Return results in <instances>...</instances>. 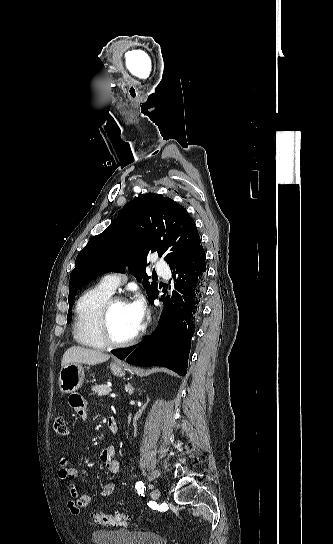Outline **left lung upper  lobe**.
<instances>
[{"instance_id":"5c2ea615","label":"left lung upper lobe","mask_w":333,"mask_h":544,"mask_svg":"<svg viewBox=\"0 0 333 544\" xmlns=\"http://www.w3.org/2000/svg\"><path fill=\"white\" fill-rule=\"evenodd\" d=\"M201 245L196 224L187 210L171 198L148 193L127 203L117 218L101 234L91 238L77 255L70 275L69 311L77 289L109 270L127 265L144 287L149 300L158 293L157 283L148 282L147 256L157 252L170 268L183 264Z\"/></svg>"}]
</instances>
